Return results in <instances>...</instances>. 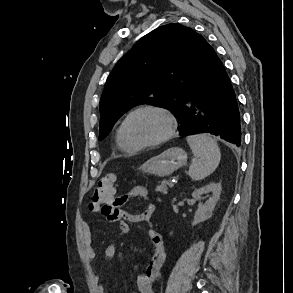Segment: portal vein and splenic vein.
<instances>
[{"label":"portal vein and splenic vein","instance_id":"18ae733b","mask_svg":"<svg viewBox=\"0 0 293 293\" xmlns=\"http://www.w3.org/2000/svg\"><path fill=\"white\" fill-rule=\"evenodd\" d=\"M169 186L170 187H173L174 186V182H170Z\"/></svg>","mask_w":293,"mask_h":293}]
</instances>
